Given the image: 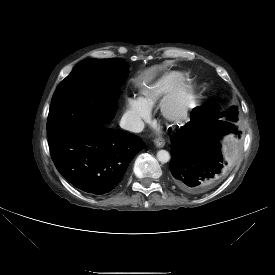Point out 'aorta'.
I'll return each mask as SVG.
<instances>
[{
  "instance_id": "obj_1",
  "label": "aorta",
  "mask_w": 275,
  "mask_h": 275,
  "mask_svg": "<svg viewBox=\"0 0 275 275\" xmlns=\"http://www.w3.org/2000/svg\"><path fill=\"white\" fill-rule=\"evenodd\" d=\"M157 159L161 163H167L170 160V154L166 150H159L157 152Z\"/></svg>"
}]
</instances>
